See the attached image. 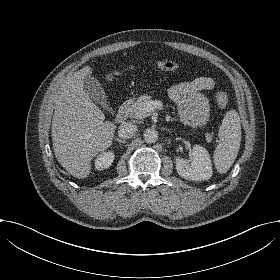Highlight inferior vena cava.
<instances>
[{
  "label": "inferior vena cava",
  "instance_id": "1",
  "mask_svg": "<svg viewBox=\"0 0 280 280\" xmlns=\"http://www.w3.org/2000/svg\"><path fill=\"white\" fill-rule=\"evenodd\" d=\"M137 131V126L132 123H123L118 128V135L122 139L131 138Z\"/></svg>",
  "mask_w": 280,
  "mask_h": 280
}]
</instances>
